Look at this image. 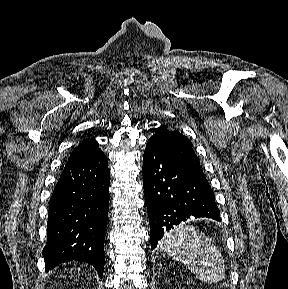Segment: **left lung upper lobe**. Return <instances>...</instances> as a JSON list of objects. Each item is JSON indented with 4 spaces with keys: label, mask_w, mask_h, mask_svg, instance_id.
I'll return each mask as SVG.
<instances>
[{
    "label": "left lung upper lobe",
    "mask_w": 288,
    "mask_h": 289,
    "mask_svg": "<svg viewBox=\"0 0 288 289\" xmlns=\"http://www.w3.org/2000/svg\"><path fill=\"white\" fill-rule=\"evenodd\" d=\"M149 140L154 141L171 159L204 175L191 141L179 131L161 126Z\"/></svg>",
    "instance_id": "obj_1"
}]
</instances>
